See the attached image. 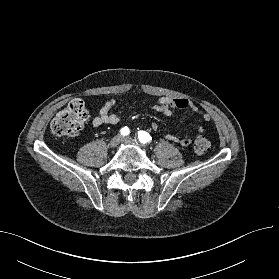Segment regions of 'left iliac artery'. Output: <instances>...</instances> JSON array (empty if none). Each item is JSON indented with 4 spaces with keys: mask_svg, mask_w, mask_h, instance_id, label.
Segmentation results:
<instances>
[{
    "mask_svg": "<svg viewBox=\"0 0 279 279\" xmlns=\"http://www.w3.org/2000/svg\"><path fill=\"white\" fill-rule=\"evenodd\" d=\"M152 137L145 131H139L138 132V140L142 144H147L151 141Z\"/></svg>",
    "mask_w": 279,
    "mask_h": 279,
    "instance_id": "44dca946",
    "label": "left iliac artery"
}]
</instances>
